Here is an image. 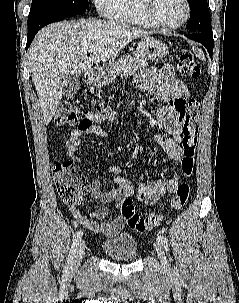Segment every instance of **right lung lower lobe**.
Instances as JSON below:
<instances>
[{
    "label": "right lung lower lobe",
    "instance_id": "right-lung-lower-lobe-1",
    "mask_svg": "<svg viewBox=\"0 0 239 303\" xmlns=\"http://www.w3.org/2000/svg\"><path fill=\"white\" fill-rule=\"evenodd\" d=\"M84 12H72V13H61V14H53L49 15L46 18H42L38 21H35L31 24H28V37H27V44H26V50L30 46L32 40L34 39L36 33L44 26L53 23L58 22L64 19L65 17H70L78 14H82Z\"/></svg>",
    "mask_w": 239,
    "mask_h": 303
}]
</instances>
